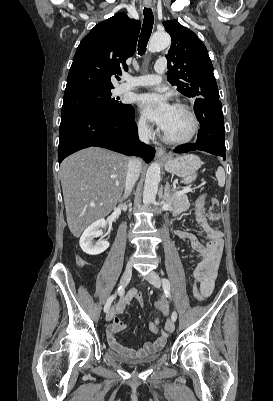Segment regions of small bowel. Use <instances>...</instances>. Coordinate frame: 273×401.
Listing matches in <instances>:
<instances>
[{
  "label": "small bowel",
  "instance_id": "small-bowel-1",
  "mask_svg": "<svg viewBox=\"0 0 273 401\" xmlns=\"http://www.w3.org/2000/svg\"><path fill=\"white\" fill-rule=\"evenodd\" d=\"M198 224H202V228L206 232L205 238L200 241L194 235L190 233H184L182 229L177 231L179 236L183 235V238L189 243L193 251L199 254L200 261L197 264L194 271H201L205 276L206 281L204 284H199L200 296L199 300H204L209 297L214 289L215 282L217 279V270L219 261L223 252V241L218 231L211 227L209 217L207 215H198L196 218ZM213 223L218 221L216 216L211 218ZM216 234V239H211V234ZM140 290L134 291L124 302L117 305V315L112 319V322L107 328V339L110 346L117 352L122 354H131L138 357L156 354L163 345L168 342V335L166 332H160L158 327V320H155L150 324V330L154 333H158L157 340L145 344V346L134 353H130L129 350L124 347L118 340V334L125 331L127 326L123 323L121 315L125 311L126 305L131 301H134V296L139 294ZM100 304H107L109 298L107 295H100L98 298ZM157 309V308H156ZM161 317H165L166 313L170 311L169 305H163L159 307Z\"/></svg>",
  "mask_w": 273,
  "mask_h": 401
}]
</instances>
